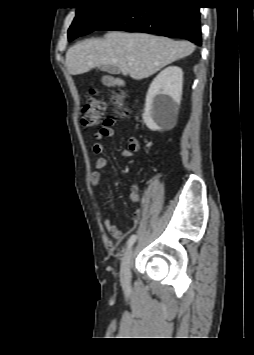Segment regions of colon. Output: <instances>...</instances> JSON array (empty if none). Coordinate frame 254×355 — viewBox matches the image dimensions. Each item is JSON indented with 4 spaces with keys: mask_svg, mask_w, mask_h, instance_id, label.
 <instances>
[{
    "mask_svg": "<svg viewBox=\"0 0 254 355\" xmlns=\"http://www.w3.org/2000/svg\"><path fill=\"white\" fill-rule=\"evenodd\" d=\"M91 92L95 93L94 91ZM112 103L116 106L118 115H120L121 117L125 116V111L123 108L124 102L122 96H113ZM105 109L106 105L102 99L92 97L88 100V102L84 105L82 109L81 125L87 129L99 125L102 122Z\"/></svg>",
    "mask_w": 254,
    "mask_h": 355,
    "instance_id": "obj_1",
    "label": "colon"
}]
</instances>
